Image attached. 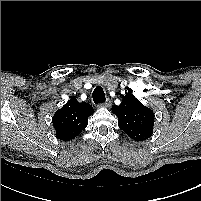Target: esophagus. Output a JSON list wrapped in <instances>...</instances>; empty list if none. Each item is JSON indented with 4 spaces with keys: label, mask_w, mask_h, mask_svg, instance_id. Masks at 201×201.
Masks as SVG:
<instances>
[{
    "label": "esophagus",
    "mask_w": 201,
    "mask_h": 201,
    "mask_svg": "<svg viewBox=\"0 0 201 201\" xmlns=\"http://www.w3.org/2000/svg\"><path fill=\"white\" fill-rule=\"evenodd\" d=\"M112 105V101L108 98L104 103L99 104L100 107L109 108Z\"/></svg>",
    "instance_id": "esophagus-1"
}]
</instances>
